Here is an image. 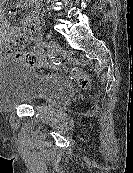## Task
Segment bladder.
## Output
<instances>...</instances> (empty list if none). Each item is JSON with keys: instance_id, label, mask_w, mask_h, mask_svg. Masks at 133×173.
Instances as JSON below:
<instances>
[{"instance_id": "31cf9c89", "label": "bladder", "mask_w": 133, "mask_h": 173, "mask_svg": "<svg viewBox=\"0 0 133 173\" xmlns=\"http://www.w3.org/2000/svg\"><path fill=\"white\" fill-rule=\"evenodd\" d=\"M71 95V85L58 75H42L10 61L0 65V109L20 104L34 107L60 103Z\"/></svg>"}]
</instances>
